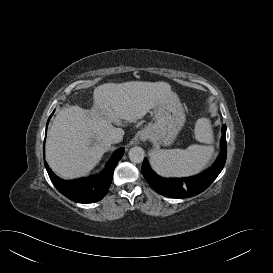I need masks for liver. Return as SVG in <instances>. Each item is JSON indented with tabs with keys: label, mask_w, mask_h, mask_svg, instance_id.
<instances>
[{
	"label": "liver",
	"mask_w": 273,
	"mask_h": 273,
	"mask_svg": "<svg viewBox=\"0 0 273 273\" xmlns=\"http://www.w3.org/2000/svg\"><path fill=\"white\" fill-rule=\"evenodd\" d=\"M171 92L166 82L106 83L95 89L91 110L62 108L48 131L49 166L62 178L86 175L110 149L108 136L116 129L113 124L141 119Z\"/></svg>",
	"instance_id": "6515ba94"
}]
</instances>
